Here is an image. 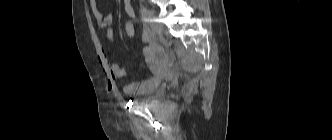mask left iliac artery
Wrapping results in <instances>:
<instances>
[{
  "label": "left iliac artery",
  "instance_id": "44dca946",
  "mask_svg": "<svg viewBox=\"0 0 332 140\" xmlns=\"http://www.w3.org/2000/svg\"><path fill=\"white\" fill-rule=\"evenodd\" d=\"M140 11H141L142 20L144 22H149L150 20H149V17H148L147 8L141 5Z\"/></svg>",
  "mask_w": 332,
  "mask_h": 140
}]
</instances>
